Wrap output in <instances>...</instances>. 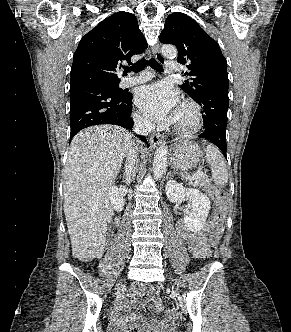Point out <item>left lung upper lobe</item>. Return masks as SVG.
I'll return each instance as SVG.
<instances>
[{
    "label": "left lung upper lobe",
    "instance_id": "obj_1",
    "mask_svg": "<svg viewBox=\"0 0 291 332\" xmlns=\"http://www.w3.org/2000/svg\"><path fill=\"white\" fill-rule=\"evenodd\" d=\"M160 41L178 49V62L189 69L179 85L197 100L208 93L228 94L227 62L218 43L192 18L184 13L170 14L160 34Z\"/></svg>",
    "mask_w": 291,
    "mask_h": 332
}]
</instances>
